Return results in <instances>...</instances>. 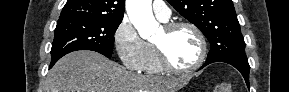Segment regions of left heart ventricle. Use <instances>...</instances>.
<instances>
[{
	"mask_svg": "<svg viewBox=\"0 0 289 92\" xmlns=\"http://www.w3.org/2000/svg\"><path fill=\"white\" fill-rule=\"evenodd\" d=\"M154 43L162 47L170 62L179 68L192 66L200 54L198 38L189 28H179L171 33L163 28Z\"/></svg>",
	"mask_w": 289,
	"mask_h": 92,
	"instance_id": "obj_1",
	"label": "left heart ventricle"
}]
</instances>
